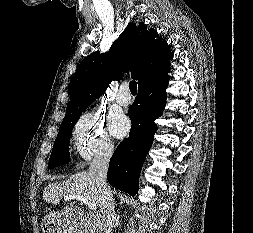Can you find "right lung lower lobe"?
I'll use <instances>...</instances> for the list:
<instances>
[{
    "label": "right lung lower lobe",
    "mask_w": 253,
    "mask_h": 233,
    "mask_svg": "<svg viewBox=\"0 0 253 233\" xmlns=\"http://www.w3.org/2000/svg\"><path fill=\"white\" fill-rule=\"evenodd\" d=\"M170 68L148 78L138 86V95L129 107L132 127L110 159L108 182L115 188L135 196L138 179L146 155L152 145L159 118L166 103Z\"/></svg>",
    "instance_id": "obj_1"
}]
</instances>
